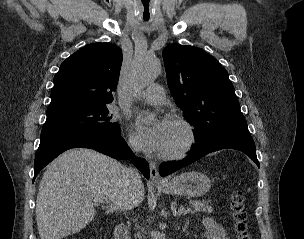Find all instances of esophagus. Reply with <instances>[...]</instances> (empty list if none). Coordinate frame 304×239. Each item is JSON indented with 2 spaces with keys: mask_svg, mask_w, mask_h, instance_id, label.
Listing matches in <instances>:
<instances>
[{
  "mask_svg": "<svg viewBox=\"0 0 304 239\" xmlns=\"http://www.w3.org/2000/svg\"><path fill=\"white\" fill-rule=\"evenodd\" d=\"M150 181L153 184H163L165 181L160 177L158 169L153 162H149Z\"/></svg>",
  "mask_w": 304,
  "mask_h": 239,
  "instance_id": "1",
  "label": "esophagus"
}]
</instances>
